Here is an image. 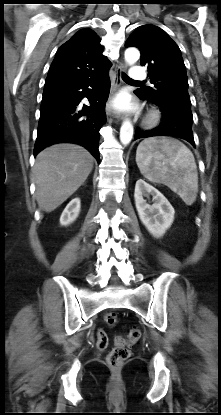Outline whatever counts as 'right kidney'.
<instances>
[{"instance_id":"ca27d5eb","label":"right kidney","mask_w":221,"mask_h":415,"mask_svg":"<svg viewBox=\"0 0 221 415\" xmlns=\"http://www.w3.org/2000/svg\"><path fill=\"white\" fill-rule=\"evenodd\" d=\"M80 212V199L75 198L69 202L60 217V224L67 226L74 222Z\"/></svg>"}]
</instances>
